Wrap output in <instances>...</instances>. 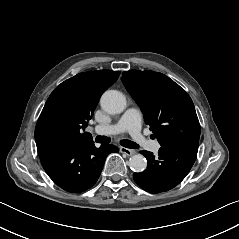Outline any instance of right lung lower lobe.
Listing matches in <instances>:
<instances>
[{"label": "right lung lower lobe", "mask_w": 239, "mask_h": 239, "mask_svg": "<svg viewBox=\"0 0 239 239\" xmlns=\"http://www.w3.org/2000/svg\"><path fill=\"white\" fill-rule=\"evenodd\" d=\"M37 151L56 185L67 192L80 193L96 183L108 154L119 149L109 144L96 148L92 140L74 144L50 142L38 146Z\"/></svg>", "instance_id": "right-lung-lower-lobe-1"}]
</instances>
